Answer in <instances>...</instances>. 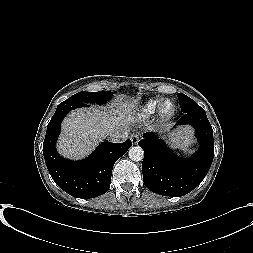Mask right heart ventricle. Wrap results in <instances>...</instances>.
<instances>
[{
  "mask_svg": "<svg viewBox=\"0 0 253 253\" xmlns=\"http://www.w3.org/2000/svg\"><path fill=\"white\" fill-rule=\"evenodd\" d=\"M161 100L160 99H153L147 101L140 109H139V115L141 117H150L152 116L158 109L159 104Z\"/></svg>",
  "mask_w": 253,
  "mask_h": 253,
  "instance_id": "right-heart-ventricle-1",
  "label": "right heart ventricle"
}]
</instances>
